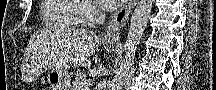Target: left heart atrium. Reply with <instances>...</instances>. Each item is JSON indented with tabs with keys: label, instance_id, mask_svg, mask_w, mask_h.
I'll list each match as a JSON object with an SVG mask.
<instances>
[{
	"label": "left heart atrium",
	"instance_id": "obj_1",
	"mask_svg": "<svg viewBox=\"0 0 216 90\" xmlns=\"http://www.w3.org/2000/svg\"><path fill=\"white\" fill-rule=\"evenodd\" d=\"M101 10H116L117 7H122L124 0H96Z\"/></svg>",
	"mask_w": 216,
	"mask_h": 90
}]
</instances>
